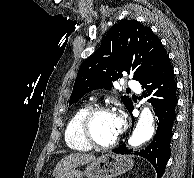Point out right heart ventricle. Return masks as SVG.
<instances>
[{
	"mask_svg": "<svg viewBox=\"0 0 194 178\" xmlns=\"http://www.w3.org/2000/svg\"><path fill=\"white\" fill-rule=\"evenodd\" d=\"M91 108L89 104L80 106L69 119L65 129V142L67 146L76 151H88L91 146L87 144L80 133V123L85 113Z\"/></svg>",
	"mask_w": 194,
	"mask_h": 178,
	"instance_id": "obj_1",
	"label": "right heart ventricle"
}]
</instances>
